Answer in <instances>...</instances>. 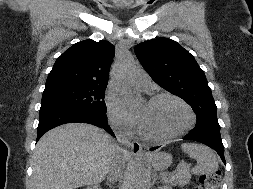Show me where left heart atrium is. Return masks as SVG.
<instances>
[{
  "mask_svg": "<svg viewBox=\"0 0 253 189\" xmlns=\"http://www.w3.org/2000/svg\"><path fill=\"white\" fill-rule=\"evenodd\" d=\"M130 120L141 128L144 121V115L140 112L139 114L132 116Z\"/></svg>",
  "mask_w": 253,
  "mask_h": 189,
  "instance_id": "39dd6f15",
  "label": "left heart atrium"
}]
</instances>
